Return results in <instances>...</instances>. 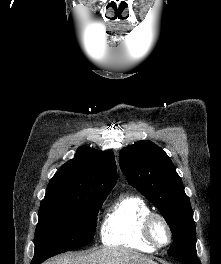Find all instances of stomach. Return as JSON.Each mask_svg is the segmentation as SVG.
I'll return each mask as SVG.
<instances>
[{"mask_svg":"<svg viewBox=\"0 0 221 264\" xmlns=\"http://www.w3.org/2000/svg\"><path fill=\"white\" fill-rule=\"evenodd\" d=\"M146 264H158V263H156V262H152V263H146Z\"/></svg>","mask_w":221,"mask_h":264,"instance_id":"obj_1","label":"stomach"}]
</instances>
